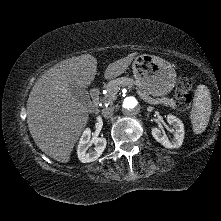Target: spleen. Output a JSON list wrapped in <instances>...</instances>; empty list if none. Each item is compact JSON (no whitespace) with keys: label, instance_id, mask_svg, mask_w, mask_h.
<instances>
[{"label":"spleen","instance_id":"3e777b00","mask_svg":"<svg viewBox=\"0 0 221 221\" xmlns=\"http://www.w3.org/2000/svg\"><path fill=\"white\" fill-rule=\"evenodd\" d=\"M210 115L211 97L209 89L205 85H198L190 113L192 129L195 134H200L206 129Z\"/></svg>","mask_w":221,"mask_h":221}]
</instances>
